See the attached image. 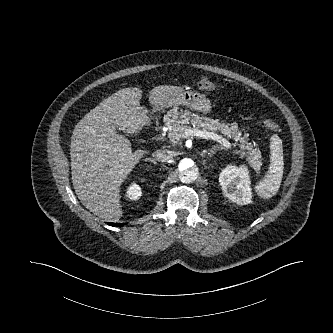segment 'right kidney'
<instances>
[{"label":"right kidney","mask_w":333,"mask_h":333,"mask_svg":"<svg viewBox=\"0 0 333 333\" xmlns=\"http://www.w3.org/2000/svg\"><path fill=\"white\" fill-rule=\"evenodd\" d=\"M142 196V191L141 188L139 187V185L137 184H132L128 187V191H127V197L130 200H138L140 197Z\"/></svg>","instance_id":"1"}]
</instances>
